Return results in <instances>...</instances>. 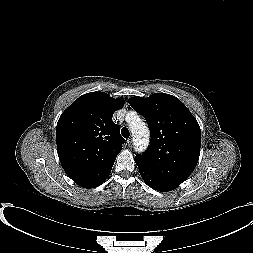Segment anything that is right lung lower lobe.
I'll use <instances>...</instances> for the list:
<instances>
[{
  "mask_svg": "<svg viewBox=\"0 0 253 253\" xmlns=\"http://www.w3.org/2000/svg\"><path fill=\"white\" fill-rule=\"evenodd\" d=\"M106 179H107V177H106L105 179L99 181L98 183L93 184L92 186H89V187H87V188H94V187H97V186H99L100 184H102Z\"/></svg>",
  "mask_w": 253,
  "mask_h": 253,
  "instance_id": "1",
  "label": "right lung lower lobe"
}]
</instances>
